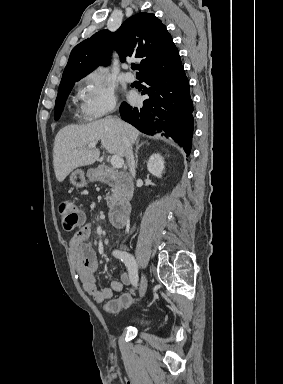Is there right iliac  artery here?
<instances>
[{
    "instance_id": "82829eb1",
    "label": "right iliac artery",
    "mask_w": 283,
    "mask_h": 384,
    "mask_svg": "<svg viewBox=\"0 0 283 384\" xmlns=\"http://www.w3.org/2000/svg\"><path fill=\"white\" fill-rule=\"evenodd\" d=\"M113 255L120 259L124 264L126 265L129 276H130V281L131 284L135 287L138 286V272H137V265L134 257L129 254L126 251H121V250H114Z\"/></svg>"
}]
</instances>
